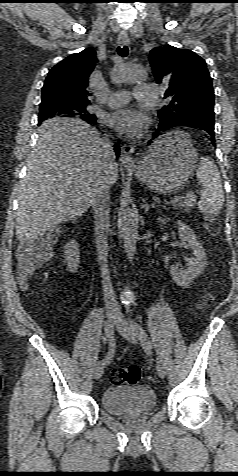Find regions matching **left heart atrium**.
Here are the masks:
<instances>
[{"mask_svg": "<svg viewBox=\"0 0 238 476\" xmlns=\"http://www.w3.org/2000/svg\"><path fill=\"white\" fill-rule=\"evenodd\" d=\"M105 122L124 136L140 137L147 129L149 119L138 109L122 108L108 113Z\"/></svg>", "mask_w": 238, "mask_h": 476, "instance_id": "39dd6f15", "label": "left heart atrium"}]
</instances>
